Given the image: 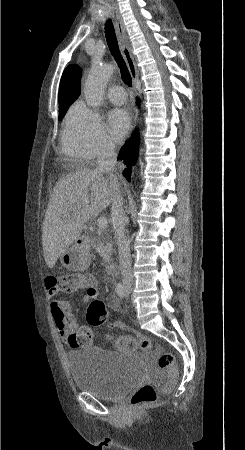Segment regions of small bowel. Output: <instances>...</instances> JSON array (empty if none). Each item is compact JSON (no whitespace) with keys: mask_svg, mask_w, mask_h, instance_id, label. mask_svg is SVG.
<instances>
[{"mask_svg":"<svg viewBox=\"0 0 245 450\" xmlns=\"http://www.w3.org/2000/svg\"><path fill=\"white\" fill-rule=\"evenodd\" d=\"M79 289H85V294L82 297L85 303L98 297L96 283L91 277H88V280L82 285L72 288L71 291ZM58 292L57 289H49L47 291L53 323L59 336L65 343L71 347H79L72 339V334L79 329V326L71 311V305L67 300L58 299ZM115 306V304H111V307Z\"/></svg>","mask_w":245,"mask_h":450,"instance_id":"obj_1","label":"small bowel"}]
</instances>
